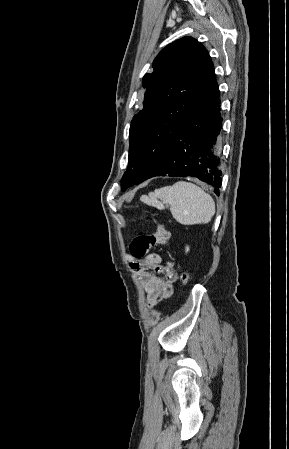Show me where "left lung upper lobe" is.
Segmentation results:
<instances>
[{"mask_svg":"<svg viewBox=\"0 0 289 449\" xmlns=\"http://www.w3.org/2000/svg\"><path fill=\"white\" fill-rule=\"evenodd\" d=\"M145 74L144 108L130 125L128 169L121 188L156 176L166 157L165 141L193 110L214 66L206 48L191 37L167 45Z\"/></svg>","mask_w":289,"mask_h":449,"instance_id":"5c2ea615","label":"left lung upper lobe"}]
</instances>
